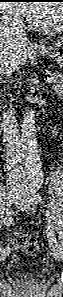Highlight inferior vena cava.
I'll return each mask as SVG.
<instances>
[{"label": "inferior vena cava", "instance_id": "602c4592", "mask_svg": "<svg viewBox=\"0 0 63 297\" xmlns=\"http://www.w3.org/2000/svg\"><path fill=\"white\" fill-rule=\"evenodd\" d=\"M1 34L11 33L17 37L26 38L22 27V21L15 14H4L1 19ZM12 99L9 101L7 110L3 113L6 159L8 169L18 178L26 172L25 159L22 152V142L19 134L18 123L15 117Z\"/></svg>", "mask_w": 63, "mask_h": 297}]
</instances>
